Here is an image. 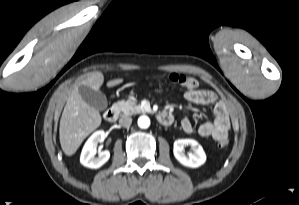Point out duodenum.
I'll return each instance as SVG.
<instances>
[{
  "label": "duodenum",
  "mask_w": 299,
  "mask_h": 205,
  "mask_svg": "<svg viewBox=\"0 0 299 205\" xmlns=\"http://www.w3.org/2000/svg\"><path fill=\"white\" fill-rule=\"evenodd\" d=\"M117 118H118V110L114 107L108 108L104 112V119L107 122L110 123L115 122ZM157 118L162 125H170L173 122L172 114L166 111L159 113Z\"/></svg>",
  "instance_id": "410a0bca"
}]
</instances>
